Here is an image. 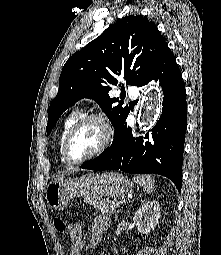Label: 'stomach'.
<instances>
[{"label": "stomach", "instance_id": "0dacf381", "mask_svg": "<svg viewBox=\"0 0 221 255\" xmlns=\"http://www.w3.org/2000/svg\"><path fill=\"white\" fill-rule=\"evenodd\" d=\"M132 189V182L117 172L87 174L80 178L59 177L47 185L45 199L50 208L62 210L75 197H82L91 203L104 196H123Z\"/></svg>", "mask_w": 221, "mask_h": 255}]
</instances>
